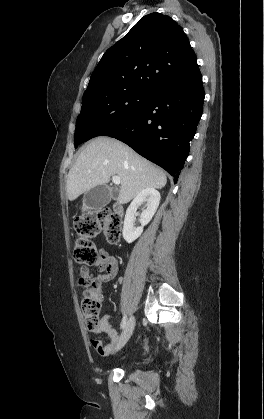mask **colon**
Here are the masks:
<instances>
[{"label":"colon","instance_id":"obj_1","mask_svg":"<svg viewBox=\"0 0 264 419\" xmlns=\"http://www.w3.org/2000/svg\"><path fill=\"white\" fill-rule=\"evenodd\" d=\"M77 240L74 246V259L80 264L93 265L98 260L97 248L92 241L102 233L107 242L115 244L121 235V218L106 210L90 212L74 221ZM85 323L89 330L96 331L100 325L102 307L101 295L92 287L84 291L81 302Z\"/></svg>","mask_w":264,"mask_h":419}]
</instances>
